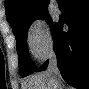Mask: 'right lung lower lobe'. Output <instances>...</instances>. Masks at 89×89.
Returning a JSON list of instances; mask_svg holds the SVG:
<instances>
[{
  "instance_id": "obj_1",
  "label": "right lung lower lobe",
  "mask_w": 89,
  "mask_h": 89,
  "mask_svg": "<svg viewBox=\"0 0 89 89\" xmlns=\"http://www.w3.org/2000/svg\"><path fill=\"white\" fill-rule=\"evenodd\" d=\"M66 23L68 31H63ZM57 65L63 79L78 89L89 88V0H65V10L52 29ZM48 61L36 71L46 69Z\"/></svg>"
}]
</instances>
